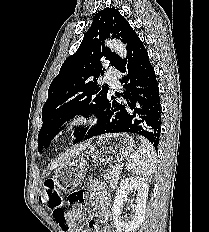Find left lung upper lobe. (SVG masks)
Segmentation results:
<instances>
[{"label": "left lung upper lobe", "instance_id": "obj_1", "mask_svg": "<svg viewBox=\"0 0 209 232\" xmlns=\"http://www.w3.org/2000/svg\"><path fill=\"white\" fill-rule=\"evenodd\" d=\"M113 37L126 44L127 54L139 39L135 30L117 9L99 11L75 54L67 58L48 90V99L42 109L43 125L38 135V151L48 145L59 128L75 115L103 113L109 99L107 84L99 87L97 80L104 75L102 61L109 60L116 69L122 64L115 52L105 46L104 40ZM90 128L74 132L76 141L84 139Z\"/></svg>", "mask_w": 209, "mask_h": 232}]
</instances>
